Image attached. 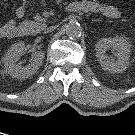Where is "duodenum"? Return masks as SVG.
<instances>
[{
    "label": "duodenum",
    "mask_w": 135,
    "mask_h": 135,
    "mask_svg": "<svg viewBox=\"0 0 135 135\" xmlns=\"http://www.w3.org/2000/svg\"><path fill=\"white\" fill-rule=\"evenodd\" d=\"M19 33H20V34H24V35L27 34L26 30L23 29V28L18 29V34H19ZM18 34H17V35H18ZM17 35H16V36H17Z\"/></svg>",
    "instance_id": "duodenum-1"
}]
</instances>
